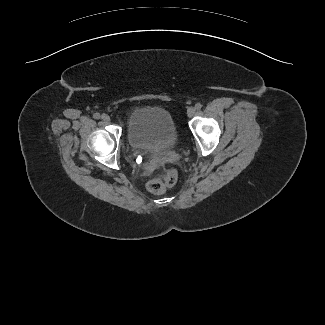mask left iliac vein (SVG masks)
Instances as JSON below:
<instances>
[{"instance_id": "4c4485c4", "label": "left iliac vein", "mask_w": 325, "mask_h": 325, "mask_svg": "<svg viewBox=\"0 0 325 325\" xmlns=\"http://www.w3.org/2000/svg\"><path fill=\"white\" fill-rule=\"evenodd\" d=\"M196 114V108L195 107H190L187 110V115L189 118H192Z\"/></svg>"}]
</instances>
